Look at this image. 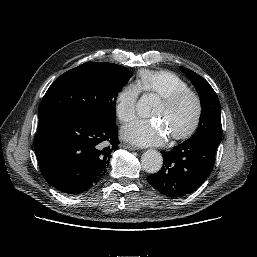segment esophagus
Listing matches in <instances>:
<instances>
[{
  "label": "esophagus",
  "mask_w": 257,
  "mask_h": 257,
  "mask_svg": "<svg viewBox=\"0 0 257 257\" xmlns=\"http://www.w3.org/2000/svg\"><path fill=\"white\" fill-rule=\"evenodd\" d=\"M123 146H124L126 149H129V150H137V147L134 146V145L124 144Z\"/></svg>",
  "instance_id": "1"
}]
</instances>
